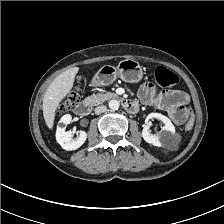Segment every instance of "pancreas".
Wrapping results in <instances>:
<instances>
[{
	"instance_id": "pancreas-1",
	"label": "pancreas",
	"mask_w": 224,
	"mask_h": 224,
	"mask_svg": "<svg viewBox=\"0 0 224 224\" xmlns=\"http://www.w3.org/2000/svg\"><path fill=\"white\" fill-rule=\"evenodd\" d=\"M116 95L114 93H107V94H96L92 95V98L95 100L97 104H100L109 98L115 97Z\"/></svg>"
}]
</instances>
